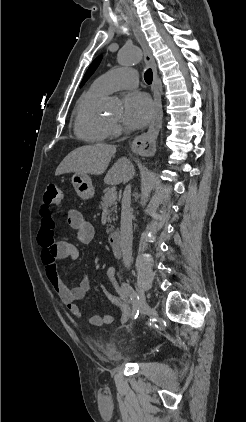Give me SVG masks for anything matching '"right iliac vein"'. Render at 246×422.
<instances>
[{
  "instance_id": "right-iliac-vein-1",
  "label": "right iliac vein",
  "mask_w": 246,
  "mask_h": 422,
  "mask_svg": "<svg viewBox=\"0 0 246 422\" xmlns=\"http://www.w3.org/2000/svg\"><path fill=\"white\" fill-rule=\"evenodd\" d=\"M137 290L139 293L138 305H139L140 313L142 316H146L150 313V307L146 301V297L144 293L139 288H137Z\"/></svg>"
}]
</instances>
